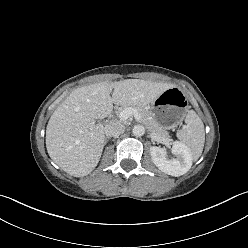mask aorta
I'll return each instance as SVG.
<instances>
[{"label":"aorta","instance_id":"aorta-1","mask_svg":"<svg viewBox=\"0 0 248 248\" xmlns=\"http://www.w3.org/2000/svg\"><path fill=\"white\" fill-rule=\"evenodd\" d=\"M132 133L134 136L141 137L145 133V128L142 125H135L132 129Z\"/></svg>","mask_w":248,"mask_h":248}]
</instances>
